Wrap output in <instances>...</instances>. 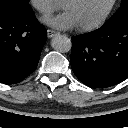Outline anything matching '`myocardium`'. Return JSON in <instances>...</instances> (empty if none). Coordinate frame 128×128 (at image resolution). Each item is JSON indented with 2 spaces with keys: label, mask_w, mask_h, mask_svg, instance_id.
Masks as SVG:
<instances>
[{
  "label": "myocardium",
  "mask_w": 128,
  "mask_h": 128,
  "mask_svg": "<svg viewBox=\"0 0 128 128\" xmlns=\"http://www.w3.org/2000/svg\"><path fill=\"white\" fill-rule=\"evenodd\" d=\"M72 0H63L62 6L64 7L65 4L71 2ZM118 0H112L109 4V6L106 8V10L103 12V14L93 23L87 24V25H80L78 26L79 30L81 31H92L97 28H99L110 16L112 11L114 10Z\"/></svg>",
  "instance_id": "1"
}]
</instances>
